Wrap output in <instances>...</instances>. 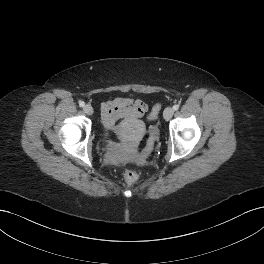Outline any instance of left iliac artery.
<instances>
[{"instance_id": "obj_1", "label": "left iliac artery", "mask_w": 264, "mask_h": 264, "mask_svg": "<svg viewBox=\"0 0 264 264\" xmlns=\"http://www.w3.org/2000/svg\"><path fill=\"white\" fill-rule=\"evenodd\" d=\"M173 109H174V110H178V109H179V105H178V104H175V105L173 106Z\"/></svg>"}]
</instances>
